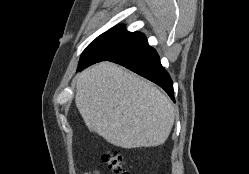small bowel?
Returning <instances> with one entry per match:
<instances>
[{"label": "small bowel", "mask_w": 249, "mask_h": 174, "mask_svg": "<svg viewBox=\"0 0 249 174\" xmlns=\"http://www.w3.org/2000/svg\"><path fill=\"white\" fill-rule=\"evenodd\" d=\"M85 174H99V172L98 171H93V172H87Z\"/></svg>", "instance_id": "small-bowel-1"}]
</instances>
